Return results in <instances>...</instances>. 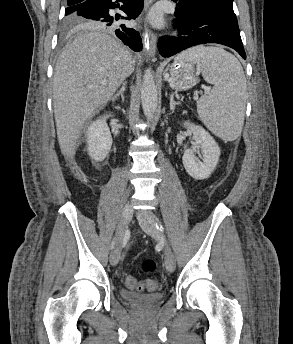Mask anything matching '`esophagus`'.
<instances>
[{
	"label": "esophagus",
	"instance_id": "esophagus-1",
	"mask_svg": "<svg viewBox=\"0 0 293 344\" xmlns=\"http://www.w3.org/2000/svg\"><path fill=\"white\" fill-rule=\"evenodd\" d=\"M155 0H145V11L147 12ZM156 43H157V34L150 30L146 29L144 33V44L145 49L147 50L148 57L152 62L156 61Z\"/></svg>",
	"mask_w": 293,
	"mask_h": 344
}]
</instances>
